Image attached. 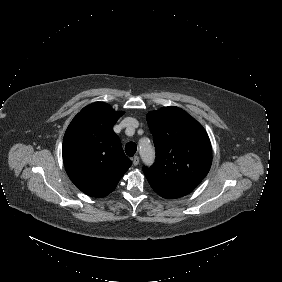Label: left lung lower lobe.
Segmentation results:
<instances>
[{
	"label": "left lung lower lobe",
	"instance_id": "0a47b994",
	"mask_svg": "<svg viewBox=\"0 0 282 282\" xmlns=\"http://www.w3.org/2000/svg\"><path fill=\"white\" fill-rule=\"evenodd\" d=\"M153 190L164 198H179L192 192L194 188L176 184H161L153 177L145 175Z\"/></svg>",
	"mask_w": 282,
	"mask_h": 282
}]
</instances>
